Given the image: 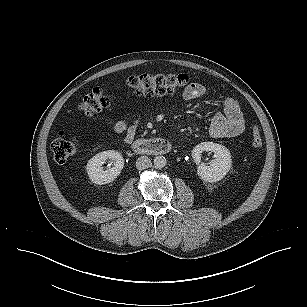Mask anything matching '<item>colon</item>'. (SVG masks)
<instances>
[{
	"mask_svg": "<svg viewBox=\"0 0 307 307\" xmlns=\"http://www.w3.org/2000/svg\"><path fill=\"white\" fill-rule=\"evenodd\" d=\"M127 85L137 96L153 97L183 91L189 87L190 80L184 74L149 73L129 77ZM109 103L110 99L103 91L95 90L83 99L80 109L85 115L90 116L106 108ZM250 143L256 150L260 149L263 144L256 119L252 121ZM78 149V138L68 137L62 133L52 143V153L57 162H65Z\"/></svg>",
	"mask_w": 307,
	"mask_h": 307,
	"instance_id": "obj_1",
	"label": "colon"
}]
</instances>
